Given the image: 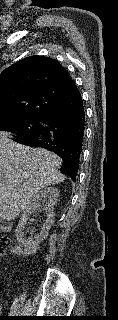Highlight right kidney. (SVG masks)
Segmentation results:
<instances>
[{
    "label": "right kidney",
    "instance_id": "ca27d5eb",
    "mask_svg": "<svg viewBox=\"0 0 118 320\" xmlns=\"http://www.w3.org/2000/svg\"><path fill=\"white\" fill-rule=\"evenodd\" d=\"M59 198V190L55 187H47L40 190L38 194L32 199L30 205L25 209L20 217L19 223L15 230V235L19 243V247L16 251L23 255L34 254L40 242L47 238L48 232L54 221V205L57 203ZM39 213L46 214V220L39 234L34 237H25L24 230L27 221L34 215Z\"/></svg>",
    "mask_w": 118,
    "mask_h": 320
}]
</instances>
